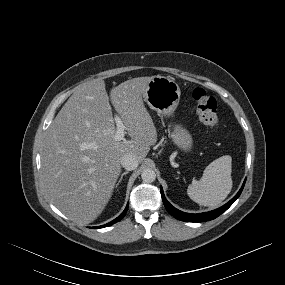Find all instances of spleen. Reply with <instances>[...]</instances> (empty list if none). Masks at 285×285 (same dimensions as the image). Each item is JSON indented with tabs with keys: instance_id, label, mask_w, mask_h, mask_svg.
I'll return each instance as SVG.
<instances>
[{
	"instance_id": "1",
	"label": "spleen",
	"mask_w": 285,
	"mask_h": 285,
	"mask_svg": "<svg viewBox=\"0 0 285 285\" xmlns=\"http://www.w3.org/2000/svg\"><path fill=\"white\" fill-rule=\"evenodd\" d=\"M232 158L229 155L219 157L204 170L199 181H193L188 186V196L199 205L217 206L232 189Z\"/></svg>"
}]
</instances>
